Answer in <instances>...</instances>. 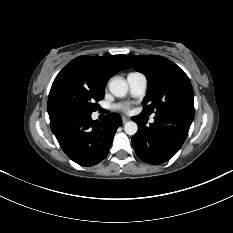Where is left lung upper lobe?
Listing matches in <instances>:
<instances>
[{
    "mask_svg": "<svg viewBox=\"0 0 233 233\" xmlns=\"http://www.w3.org/2000/svg\"><path fill=\"white\" fill-rule=\"evenodd\" d=\"M129 66L147 78V94L142 114H166L194 119V92L186 73L162 56L122 55Z\"/></svg>",
    "mask_w": 233,
    "mask_h": 233,
    "instance_id": "obj_1",
    "label": "left lung upper lobe"
}]
</instances>
